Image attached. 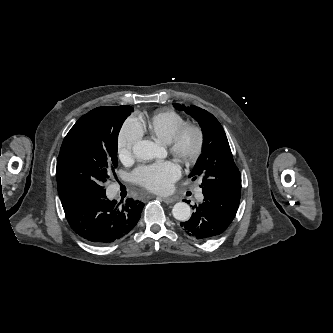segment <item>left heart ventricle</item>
Returning a JSON list of instances; mask_svg holds the SVG:
<instances>
[{"mask_svg":"<svg viewBox=\"0 0 333 333\" xmlns=\"http://www.w3.org/2000/svg\"><path fill=\"white\" fill-rule=\"evenodd\" d=\"M188 142H189V143L191 142V139H190V138L188 139Z\"/></svg>","mask_w":333,"mask_h":333,"instance_id":"left-heart-ventricle-1","label":"left heart ventricle"}]
</instances>
